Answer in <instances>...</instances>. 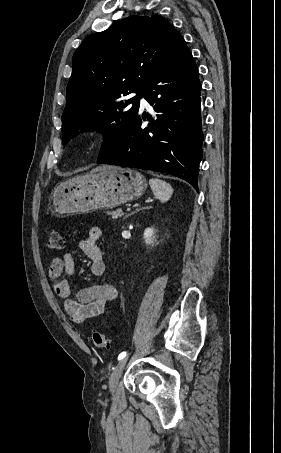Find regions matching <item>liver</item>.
Segmentation results:
<instances>
[{"label":"liver","mask_w":281,"mask_h":453,"mask_svg":"<svg viewBox=\"0 0 281 453\" xmlns=\"http://www.w3.org/2000/svg\"><path fill=\"white\" fill-rule=\"evenodd\" d=\"M107 166H109V164H103V166H96V168H92V170H90V172H97V170H104V168H107Z\"/></svg>","instance_id":"6515ba94"}]
</instances>
